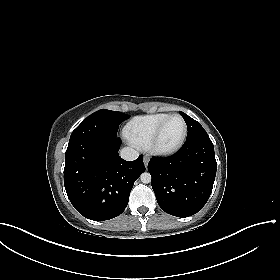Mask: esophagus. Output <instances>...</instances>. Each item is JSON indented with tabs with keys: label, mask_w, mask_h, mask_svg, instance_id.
I'll list each match as a JSON object with an SVG mask.
<instances>
[{
	"label": "esophagus",
	"mask_w": 280,
	"mask_h": 280,
	"mask_svg": "<svg viewBox=\"0 0 280 280\" xmlns=\"http://www.w3.org/2000/svg\"><path fill=\"white\" fill-rule=\"evenodd\" d=\"M148 163H149V157L147 155H145L144 156V164H145L146 168H147Z\"/></svg>",
	"instance_id": "esophagus-1"
}]
</instances>
